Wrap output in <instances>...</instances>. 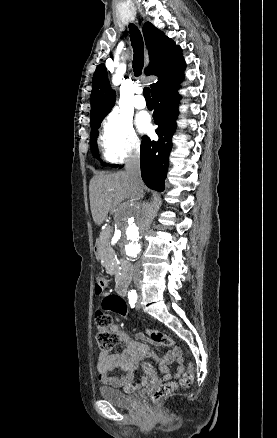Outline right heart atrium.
<instances>
[{
	"instance_id": "obj_1",
	"label": "right heart atrium",
	"mask_w": 277,
	"mask_h": 438,
	"mask_svg": "<svg viewBox=\"0 0 277 438\" xmlns=\"http://www.w3.org/2000/svg\"><path fill=\"white\" fill-rule=\"evenodd\" d=\"M105 133L120 158L138 154L141 142L129 115L115 112L106 123Z\"/></svg>"
}]
</instances>
